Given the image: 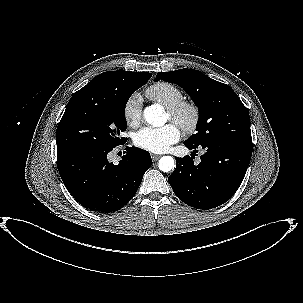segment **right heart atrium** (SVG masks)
Wrapping results in <instances>:
<instances>
[{"label": "right heart atrium", "instance_id": "1", "mask_svg": "<svg viewBox=\"0 0 303 303\" xmlns=\"http://www.w3.org/2000/svg\"><path fill=\"white\" fill-rule=\"evenodd\" d=\"M123 115L130 127H137L142 119V99L138 93L130 95L124 103Z\"/></svg>", "mask_w": 303, "mask_h": 303}]
</instances>
